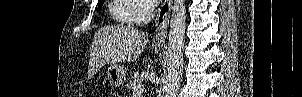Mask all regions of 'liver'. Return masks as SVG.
I'll return each mask as SVG.
<instances>
[{
	"mask_svg": "<svg viewBox=\"0 0 302 97\" xmlns=\"http://www.w3.org/2000/svg\"><path fill=\"white\" fill-rule=\"evenodd\" d=\"M150 35L134 27L117 25L103 27L95 35L91 46V77L105 62L136 61L149 41Z\"/></svg>",
	"mask_w": 302,
	"mask_h": 97,
	"instance_id": "1",
	"label": "liver"
}]
</instances>
